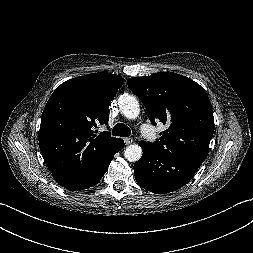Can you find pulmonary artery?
I'll return each instance as SVG.
<instances>
[{
	"mask_svg": "<svg viewBox=\"0 0 253 253\" xmlns=\"http://www.w3.org/2000/svg\"><path fill=\"white\" fill-rule=\"evenodd\" d=\"M141 130L144 133V135H146V130H145V127L143 125H141Z\"/></svg>",
	"mask_w": 253,
	"mask_h": 253,
	"instance_id": "obj_1",
	"label": "pulmonary artery"
}]
</instances>
